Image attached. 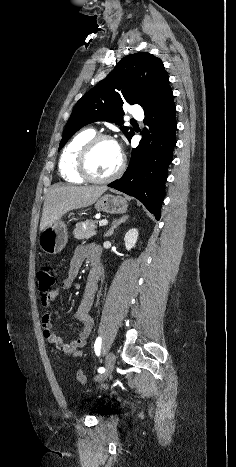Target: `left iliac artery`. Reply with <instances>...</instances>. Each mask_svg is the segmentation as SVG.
<instances>
[{"label":"left iliac artery","instance_id":"obj_1","mask_svg":"<svg viewBox=\"0 0 236 467\" xmlns=\"http://www.w3.org/2000/svg\"><path fill=\"white\" fill-rule=\"evenodd\" d=\"M101 344H102V338L98 337L96 339V341H95V344H94V351H95L97 356L100 355ZM104 371H105V369L103 367H100L98 369V372H100V373H103Z\"/></svg>","mask_w":236,"mask_h":467}]
</instances>
